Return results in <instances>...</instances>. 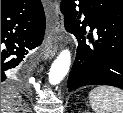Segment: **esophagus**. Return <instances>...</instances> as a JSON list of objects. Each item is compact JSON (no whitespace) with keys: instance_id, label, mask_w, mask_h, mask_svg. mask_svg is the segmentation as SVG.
<instances>
[{"instance_id":"obj_1","label":"esophagus","mask_w":123,"mask_h":113,"mask_svg":"<svg viewBox=\"0 0 123 113\" xmlns=\"http://www.w3.org/2000/svg\"><path fill=\"white\" fill-rule=\"evenodd\" d=\"M53 10L52 19L49 21L48 29L46 32V37L43 44V58L51 59L53 58L59 47V39L64 29L63 14L60 10L59 2L54 1L50 3Z\"/></svg>"}]
</instances>
